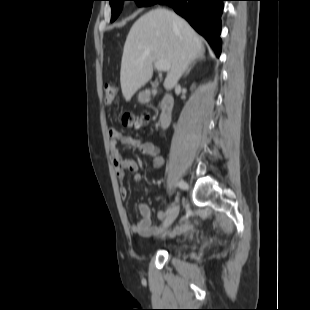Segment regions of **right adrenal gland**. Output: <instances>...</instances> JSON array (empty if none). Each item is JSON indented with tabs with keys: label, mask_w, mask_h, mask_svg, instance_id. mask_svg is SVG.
<instances>
[{
	"label": "right adrenal gland",
	"mask_w": 310,
	"mask_h": 310,
	"mask_svg": "<svg viewBox=\"0 0 310 310\" xmlns=\"http://www.w3.org/2000/svg\"><path fill=\"white\" fill-rule=\"evenodd\" d=\"M200 59H204V56L201 55L199 58L194 59L193 61H191L189 67L186 69L184 76H187L190 72V70L192 69V67L196 64V62Z\"/></svg>",
	"instance_id": "obj_1"
}]
</instances>
